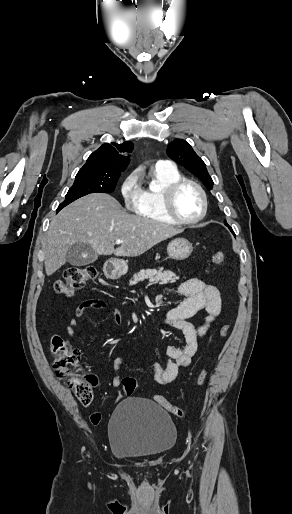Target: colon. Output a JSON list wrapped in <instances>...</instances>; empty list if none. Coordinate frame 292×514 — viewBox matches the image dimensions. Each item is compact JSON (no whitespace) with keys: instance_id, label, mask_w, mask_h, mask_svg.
Returning <instances> with one entry per match:
<instances>
[{"instance_id":"1","label":"colon","mask_w":292,"mask_h":514,"mask_svg":"<svg viewBox=\"0 0 292 514\" xmlns=\"http://www.w3.org/2000/svg\"><path fill=\"white\" fill-rule=\"evenodd\" d=\"M226 257L223 250H217L213 253L212 262L215 266H221L225 263ZM97 270L93 266L71 267L64 272L63 278L56 281L54 290L61 297H69L76 290L85 287L96 276ZM230 326L223 324L218 329L219 339H224ZM50 350L53 356V370L57 377L65 379L69 388L74 393L81 405H90L94 399L93 385L96 383L94 376L89 374H80L79 367L83 363L82 353L68 345L66 340L60 336H53L50 342ZM207 370L203 369L197 378V386L201 387L205 383ZM137 381L133 377H126L122 381V389L126 396L130 397L137 389ZM155 401L165 410L181 415L182 411L175 408L165 397L156 395ZM100 419V413L94 412L90 415L92 423H97Z\"/></svg>"}]
</instances>
